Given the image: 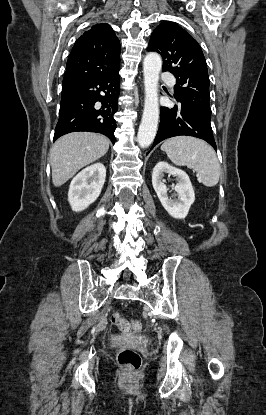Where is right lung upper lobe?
I'll list each match as a JSON object with an SVG mask.
<instances>
[{"instance_id": "obj_1", "label": "right lung upper lobe", "mask_w": 266, "mask_h": 415, "mask_svg": "<svg viewBox=\"0 0 266 415\" xmlns=\"http://www.w3.org/2000/svg\"><path fill=\"white\" fill-rule=\"evenodd\" d=\"M120 65V42L105 23L80 36L69 55L62 86L110 74Z\"/></svg>"}]
</instances>
